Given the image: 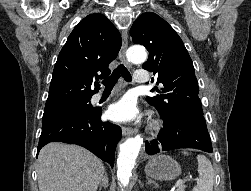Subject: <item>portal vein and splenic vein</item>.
I'll return each instance as SVG.
<instances>
[{
    "mask_svg": "<svg viewBox=\"0 0 251 191\" xmlns=\"http://www.w3.org/2000/svg\"><path fill=\"white\" fill-rule=\"evenodd\" d=\"M182 183L194 184L195 183V178H192V179H178V181L175 183V186L179 187L180 185H182Z\"/></svg>",
    "mask_w": 251,
    "mask_h": 191,
    "instance_id": "obj_1",
    "label": "portal vein and splenic vein"
}]
</instances>
